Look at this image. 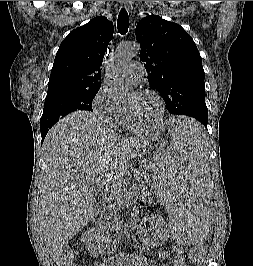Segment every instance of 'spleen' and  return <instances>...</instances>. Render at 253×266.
<instances>
[{"instance_id":"3e777b00","label":"spleen","mask_w":253,"mask_h":266,"mask_svg":"<svg viewBox=\"0 0 253 266\" xmlns=\"http://www.w3.org/2000/svg\"><path fill=\"white\" fill-rule=\"evenodd\" d=\"M167 150L154 160L149 188L169 216L172 248H203L209 242L216 207H208V136L188 115L166 117Z\"/></svg>"}]
</instances>
